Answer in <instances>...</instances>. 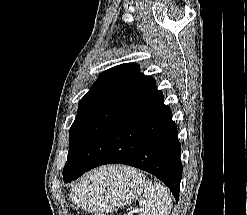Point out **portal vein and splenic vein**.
<instances>
[{"mask_svg":"<svg viewBox=\"0 0 247 215\" xmlns=\"http://www.w3.org/2000/svg\"><path fill=\"white\" fill-rule=\"evenodd\" d=\"M132 212L135 213V212H140V211L139 210H133Z\"/></svg>","mask_w":247,"mask_h":215,"instance_id":"obj_1","label":"portal vein and splenic vein"}]
</instances>
